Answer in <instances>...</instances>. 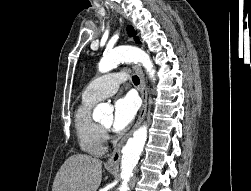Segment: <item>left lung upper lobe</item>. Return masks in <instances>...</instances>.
Returning a JSON list of instances; mask_svg holds the SVG:
<instances>
[{"mask_svg": "<svg viewBox=\"0 0 251 191\" xmlns=\"http://www.w3.org/2000/svg\"><path fill=\"white\" fill-rule=\"evenodd\" d=\"M127 32L129 34V36H131V37L135 35V31H134L133 27H131V26L127 27ZM135 40L137 43H140L139 39L137 37H135Z\"/></svg>", "mask_w": 251, "mask_h": 191, "instance_id": "5c2ea615", "label": "left lung upper lobe"}]
</instances>
